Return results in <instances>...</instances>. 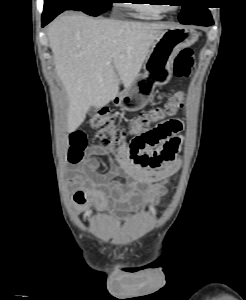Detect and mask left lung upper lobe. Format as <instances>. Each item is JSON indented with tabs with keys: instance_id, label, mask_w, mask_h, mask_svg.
<instances>
[{
	"instance_id": "5c2ea615",
	"label": "left lung upper lobe",
	"mask_w": 246,
	"mask_h": 300,
	"mask_svg": "<svg viewBox=\"0 0 246 300\" xmlns=\"http://www.w3.org/2000/svg\"><path fill=\"white\" fill-rule=\"evenodd\" d=\"M184 1L186 2V5L182 6V12L178 16L182 24H191L211 16L208 8L201 5V0Z\"/></svg>"
}]
</instances>
